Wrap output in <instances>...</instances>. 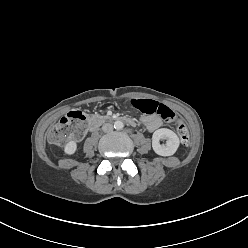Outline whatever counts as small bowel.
<instances>
[{"mask_svg":"<svg viewBox=\"0 0 248 248\" xmlns=\"http://www.w3.org/2000/svg\"><path fill=\"white\" fill-rule=\"evenodd\" d=\"M141 120L149 131H155L162 125L160 118L156 115H144Z\"/></svg>","mask_w":248,"mask_h":248,"instance_id":"1","label":"small bowel"}]
</instances>
